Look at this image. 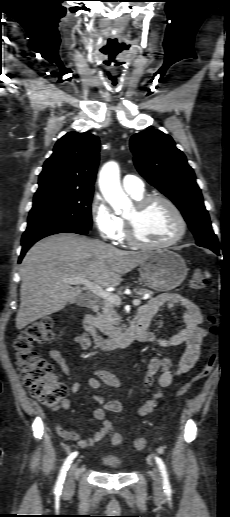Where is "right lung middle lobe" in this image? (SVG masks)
<instances>
[{
	"label": "right lung middle lobe",
	"instance_id": "obj_1",
	"mask_svg": "<svg viewBox=\"0 0 230 517\" xmlns=\"http://www.w3.org/2000/svg\"><path fill=\"white\" fill-rule=\"evenodd\" d=\"M92 195L93 191H78L34 198L27 229L64 223L89 230Z\"/></svg>",
	"mask_w": 230,
	"mask_h": 517
}]
</instances>
